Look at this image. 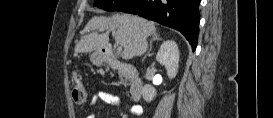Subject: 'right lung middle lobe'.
<instances>
[{"label": "right lung middle lobe", "instance_id": "obj_1", "mask_svg": "<svg viewBox=\"0 0 273 118\" xmlns=\"http://www.w3.org/2000/svg\"><path fill=\"white\" fill-rule=\"evenodd\" d=\"M132 0H95L94 6L106 11H119Z\"/></svg>", "mask_w": 273, "mask_h": 118}]
</instances>
